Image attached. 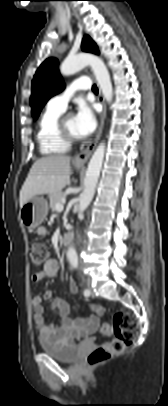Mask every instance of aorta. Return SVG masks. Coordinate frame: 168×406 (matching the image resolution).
<instances>
[{"label": "aorta", "mask_w": 168, "mask_h": 406, "mask_svg": "<svg viewBox=\"0 0 168 406\" xmlns=\"http://www.w3.org/2000/svg\"><path fill=\"white\" fill-rule=\"evenodd\" d=\"M89 65L95 75L98 86L104 99L110 103L113 97V88L109 71L102 59L93 54L80 53L67 57L60 66V72L64 76L77 73L85 66ZM105 154V143L101 142L93 153L84 180V190L79 198V212H84L89 206L95 194L102 163ZM67 257L72 267H78V257L74 247H69Z\"/></svg>", "instance_id": "1"}]
</instances>
